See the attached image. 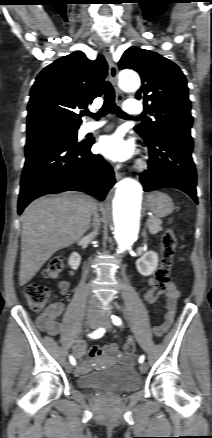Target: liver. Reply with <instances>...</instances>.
I'll return each mask as SVG.
<instances>
[{
  "instance_id": "6515ba94",
  "label": "liver",
  "mask_w": 212,
  "mask_h": 438,
  "mask_svg": "<svg viewBox=\"0 0 212 438\" xmlns=\"http://www.w3.org/2000/svg\"><path fill=\"white\" fill-rule=\"evenodd\" d=\"M96 210L91 196L74 191L29 204L21 217L20 285L28 283L55 252L82 238Z\"/></svg>"
}]
</instances>
